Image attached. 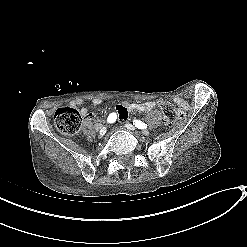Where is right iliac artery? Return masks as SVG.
Segmentation results:
<instances>
[{"label": "right iliac artery", "mask_w": 247, "mask_h": 247, "mask_svg": "<svg viewBox=\"0 0 247 247\" xmlns=\"http://www.w3.org/2000/svg\"><path fill=\"white\" fill-rule=\"evenodd\" d=\"M116 119H117L116 113H111V114L108 116L107 122H108V123H113V122L116 121Z\"/></svg>", "instance_id": "1"}]
</instances>
